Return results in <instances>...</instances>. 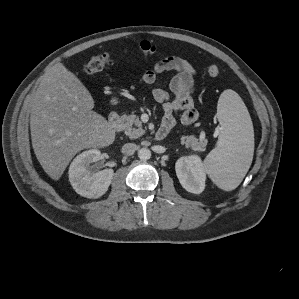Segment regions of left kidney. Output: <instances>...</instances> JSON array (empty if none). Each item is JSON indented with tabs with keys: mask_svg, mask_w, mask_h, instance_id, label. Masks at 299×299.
Listing matches in <instances>:
<instances>
[{
	"mask_svg": "<svg viewBox=\"0 0 299 299\" xmlns=\"http://www.w3.org/2000/svg\"><path fill=\"white\" fill-rule=\"evenodd\" d=\"M176 175L185 190L200 194L205 188L206 173L197 155L181 157L175 165Z\"/></svg>",
	"mask_w": 299,
	"mask_h": 299,
	"instance_id": "1",
	"label": "left kidney"
}]
</instances>
